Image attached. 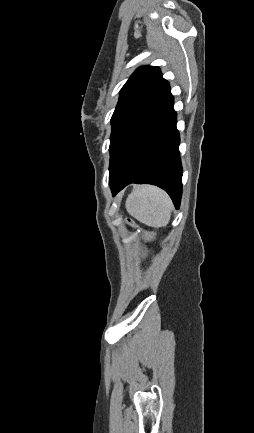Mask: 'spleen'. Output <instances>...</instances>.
Wrapping results in <instances>:
<instances>
[{
  "label": "spleen",
  "instance_id": "obj_1",
  "mask_svg": "<svg viewBox=\"0 0 254 433\" xmlns=\"http://www.w3.org/2000/svg\"><path fill=\"white\" fill-rule=\"evenodd\" d=\"M125 206L138 221L159 228L169 223L173 205L166 192L155 186L143 185L133 189Z\"/></svg>",
  "mask_w": 254,
  "mask_h": 433
}]
</instances>
